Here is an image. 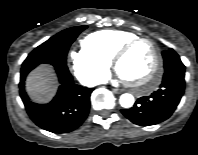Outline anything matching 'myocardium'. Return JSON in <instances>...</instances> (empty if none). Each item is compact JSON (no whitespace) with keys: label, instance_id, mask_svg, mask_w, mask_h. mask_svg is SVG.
<instances>
[{"label":"myocardium","instance_id":"1","mask_svg":"<svg viewBox=\"0 0 198 155\" xmlns=\"http://www.w3.org/2000/svg\"><path fill=\"white\" fill-rule=\"evenodd\" d=\"M139 42H147L148 44L151 45L155 56L154 64L150 73L143 82L141 83L129 82V84L132 87L136 88V90L139 91L140 93L145 94L155 89L160 81V75L162 69V55L157 43L154 40L148 37H139V36L128 40L116 50V52L112 57V63L114 67L117 69V65L119 61Z\"/></svg>","mask_w":198,"mask_h":155}]
</instances>
